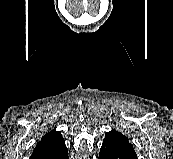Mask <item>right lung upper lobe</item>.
I'll return each mask as SVG.
<instances>
[{
    "mask_svg": "<svg viewBox=\"0 0 173 159\" xmlns=\"http://www.w3.org/2000/svg\"><path fill=\"white\" fill-rule=\"evenodd\" d=\"M66 149L61 133L53 130L46 133L37 143L30 159H49Z\"/></svg>",
    "mask_w": 173,
    "mask_h": 159,
    "instance_id": "cb5924a9",
    "label": "right lung upper lobe"
}]
</instances>
